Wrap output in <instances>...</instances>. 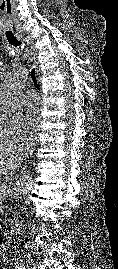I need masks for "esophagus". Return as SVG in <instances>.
Segmentation results:
<instances>
[{"instance_id": "34e87169", "label": "esophagus", "mask_w": 118, "mask_h": 269, "mask_svg": "<svg viewBox=\"0 0 118 269\" xmlns=\"http://www.w3.org/2000/svg\"><path fill=\"white\" fill-rule=\"evenodd\" d=\"M28 43L31 45V48H32V58H33V61H34L35 66H36V72L39 75L40 65H39V62L37 60V53L34 50V47L32 46V44H31V42L29 40H28Z\"/></svg>"}]
</instances>
